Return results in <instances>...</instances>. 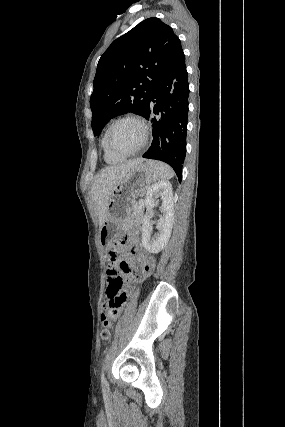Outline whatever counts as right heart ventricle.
<instances>
[{
  "label": "right heart ventricle",
  "instance_id": "e07e8e85",
  "mask_svg": "<svg viewBox=\"0 0 285 427\" xmlns=\"http://www.w3.org/2000/svg\"><path fill=\"white\" fill-rule=\"evenodd\" d=\"M105 135H106V131L103 133V135L101 137V148L103 151L104 160L109 164H116V163L122 162L125 159V157L113 154L107 148V145L105 142Z\"/></svg>",
  "mask_w": 285,
  "mask_h": 427
}]
</instances>
